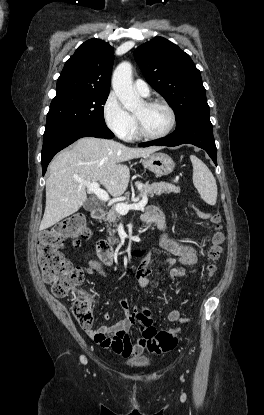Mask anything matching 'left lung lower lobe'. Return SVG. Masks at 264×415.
Here are the masks:
<instances>
[{"label":"left lung lower lobe","instance_id":"0a47b994","mask_svg":"<svg viewBox=\"0 0 264 415\" xmlns=\"http://www.w3.org/2000/svg\"><path fill=\"white\" fill-rule=\"evenodd\" d=\"M184 143L204 149L217 165L216 145L209 112L193 114L178 124L176 130L170 135L155 141L141 143L139 146H178Z\"/></svg>","mask_w":264,"mask_h":415}]
</instances>
